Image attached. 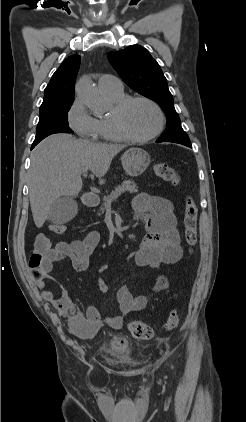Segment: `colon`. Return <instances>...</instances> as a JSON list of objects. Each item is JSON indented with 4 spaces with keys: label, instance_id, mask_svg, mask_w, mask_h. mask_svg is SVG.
Masks as SVG:
<instances>
[{
    "label": "colon",
    "instance_id": "5ec220e1",
    "mask_svg": "<svg viewBox=\"0 0 246 422\" xmlns=\"http://www.w3.org/2000/svg\"><path fill=\"white\" fill-rule=\"evenodd\" d=\"M156 176L177 185L180 181L177 172L168 164L157 163L153 167ZM198 208L192 198L186 199L183 217L184 239L189 247L195 246L198 239L197 230ZM51 233L62 235L66 232V226L61 224H51ZM51 251L49 239L44 234H38L35 240L34 249L29 257L28 267L35 280L43 279L49 269L48 254ZM180 320V313L177 309H172L165 322L164 328L167 331L175 329ZM132 336L138 340H149L153 337V329L140 321H132L129 324ZM123 342V341H121Z\"/></svg>",
    "mask_w": 246,
    "mask_h": 422
}]
</instances>
